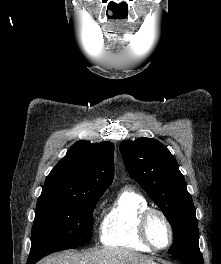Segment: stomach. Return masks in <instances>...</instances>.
I'll list each match as a JSON object with an SVG mask.
<instances>
[{"instance_id": "obj_1", "label": "stomach", "mask_w": 221, "mask_h": 264, "mask_svg": "<svg viewBox=\"0 0 221 264\" xmlns=\"http://www.w3.org/2000/svg\"><path fill=\"white\" fill-rule=\"evenodd\" d=\"M147 264H158V263H156V262L153 261L152 263H147Z\"/></svg>"}]
</instances>
